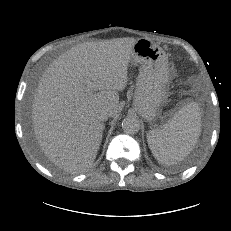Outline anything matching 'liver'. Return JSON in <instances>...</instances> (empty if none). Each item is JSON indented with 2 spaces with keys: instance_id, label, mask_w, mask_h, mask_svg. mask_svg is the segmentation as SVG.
Listing matches in <instances>:
<instances>
[{
  "instance_id": "6515ba94",
  "label": "liver",
  "mask_w": 231,
  "mask_h": 231,
  "mask_svg": "<svg viewBox=\"0 0 231 231\" xmlns=\"http://www.w3.org/2000/svg\"><path fill=\"white\" fill-rule=\"evenodd\" d=\"M134 38L79 44L42 75L32 104L36 139L50 161L70 173L94 162L104 131L103 108L119 112V91L128 82Z\"/></svg>"
}]
</instances>
